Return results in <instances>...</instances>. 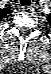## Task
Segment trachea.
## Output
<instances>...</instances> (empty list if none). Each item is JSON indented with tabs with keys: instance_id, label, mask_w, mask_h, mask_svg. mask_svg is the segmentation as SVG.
<instances>
[{
	"instance_id": "3493384b",
	"label": "trachea",
	"mask_w": 51,
	"mask_h": 74,
	"mask_svg": "<svg viewBox=\"0 0 51 74\" xmlns=\"http://www.w3.org/2000/svg\"><path fill=\"white\" fill-rule=\"evenodd\" d=\"M30 3H28L27 1H24V0H21V5L22 6H26V5H29Z\"/></svg>"
}]
</instances>
